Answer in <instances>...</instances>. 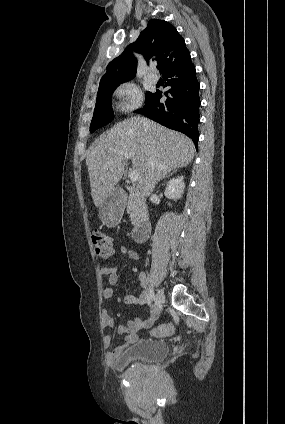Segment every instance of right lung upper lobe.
Returning a JSON list of instances; mask_svg holds the SVG:
<instances>
[{
    "label": "right lung upper lobe",
    "mask_w": 285,
    "mask_h": 424,
    "mask_svg": "<svg viewBox=\"0 0 285 424\" xmlns=\"http://www.w3.org/2000/svg\"><path fill=\"white\" fill-rule=\"evenodd\" d=\"M132 50L141 53L147 62L151 57L156 56L158 63L161 64L162 75L190 58L184 39L178 34L176 28L164 20L152 19L138 39L108 64L106 73L100 80L99 88L134 78L137 60Z\"/></svg>",
    "instance_id": "right-lung-upper-lobe-1"
}]
</instances>
